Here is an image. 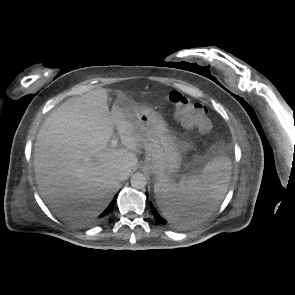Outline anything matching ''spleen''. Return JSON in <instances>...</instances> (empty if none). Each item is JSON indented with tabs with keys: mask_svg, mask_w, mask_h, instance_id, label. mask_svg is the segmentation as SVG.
Segmentation results:
<instances>
[{
	"mask_svg": "<svg viewBox=\"0 0 295 295\" xmlns=\"http://www.w3.org/2000/svg\"><path fill=\"white\" fill-rule=\"evenodd\" d=\"M231 162L218 156L209 161L201 174L192 175L184 182L163 179L154 184L157 204L166 219L182 225H194L205 219V214L192 215L191 209L198 203L219 202L228 187Z\"/></svg>",
	"mask_w": 295,
	"mask_h": 295,
	"instance_id": "3e777b00",
	"label": "spleen"
}]
</instances>
